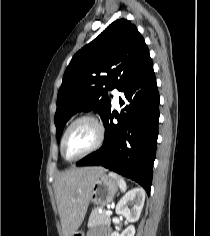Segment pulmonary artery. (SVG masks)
Wrapping results in <instances>:
<instances>
[{
  "label": "pulmonary artery",
  "mask_w": 210,
  "mask_h": 236,
  "mask_svg": "<svg viewBox=\"0 0 210 236\" xmlns=\"http://www.w3.org/2000/svg\"><path fill=\"white\" fill-rule=\"evenodd\" d=\"M113 94H114V99H113L114 104L118 105V103H119V96H120L119 90L115 88L113 90Z\"/></svg>",
  "instance_id": "1"
}]
</instances>
